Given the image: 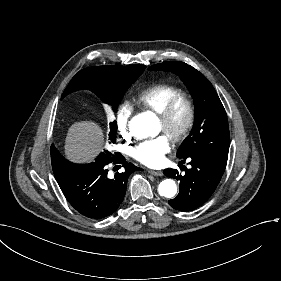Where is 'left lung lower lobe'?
Here are the masks:
<instances>
[{
	"mask_svg": "<svg viewBox=\"0 0 281 281\" xmlns=\"http://www.w3.org/2000/svg\"><path fill=\"white\" fill-rule=\"evenodd\" d=\"M187 158L191 166L185 168V175H179L176 169L164 170L166 176L180 180L179 194L168 201L179 211H192L203 205L215 191L226 167L202 155Z\"/></svg>",
	"mask_w": 281,
	"mask_h": 281,
	"instance_id": "0a47b994",
	"label": "left lung lower lobe"
}]
</instances>
